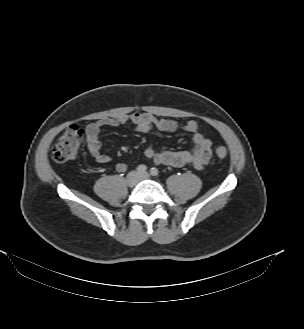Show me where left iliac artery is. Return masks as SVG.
<instances>
[{"label": "left iliac artery", "instance_id": "44dca946", "mask_svg": "<svg viewBox=\"0 0 304 329\" xmlns=\"http://www.w3.org/2000/svg\"><path fill=\"white\" fill-rule=\"evenodd\" d=\"M150 174H151L152 176H158L159 171H158L157 168L153 167V168H151V170H150Z\"/></svg>", "mask_w": 304, "mask_h": 329}]
</instances>
